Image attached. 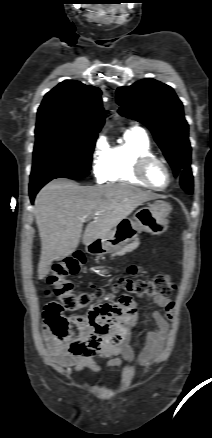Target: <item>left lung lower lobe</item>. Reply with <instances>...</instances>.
I'll list each match as a JSON object with an SVG mask.
<instances>
[{"label":"left lung lower lobe","mask_w":212,"mask_h":438,"mask_svg":"<svg viewBox=\"0 0 212 438\" xmlns=\"http://www.w3.org/2000/svg\"><path fill=\"white\" fill-rule=\"evenodd\" d=\"M180 183L182 188L189 194L193 191V176L191 172V168L186 167L182 170L180 174Z\"/></svg>","instance_id":"left-lung-lower-lobe-1"}]
</instances>
